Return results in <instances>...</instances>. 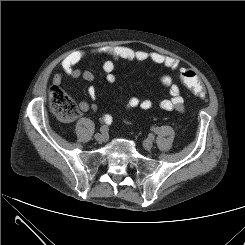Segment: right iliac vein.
<instances>
[{"instance_id":"right-iliac-vein-1","label":"right iliac vein","mask_w":245,"mask_h":245,"mask_svg":"<svg viewBox=\"0 0 245 245\" xmlns=\"http://www.w3.org/2000/svg\"><path fill=\"white\" fill-rule=\"evenodd\" d=\"M105 139H106V136H105L103 133H97V134L95 135V140H96L97 142H99V143L104 142Z\"/></svg>"}]
</instances>
